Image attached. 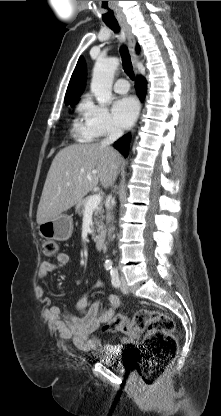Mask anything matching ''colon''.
Wrapping results in <instances>:
<instances>
[{
  "mask_svg": "<svg viewBox=\"0 0 221 416\" xmlns=\"http://www.w3.org/2000/svg\"><path fill=\"white\" fill-rule=\"evenodd\" d=\"M57 251L56 241L43 242L42 252L45 256H54ZM175 327L173 318L167 313L141 309L131 318L123 315L113 316L104 324L103 330L132 337L145 333L140 349V376L145 384L152 385L162 376L177 353Z\"/></svg>",
  "mask_w": 221,
  "mask_h": 416,
  "instance_id": "1",
  "label": "colon"
}]
</instances>
